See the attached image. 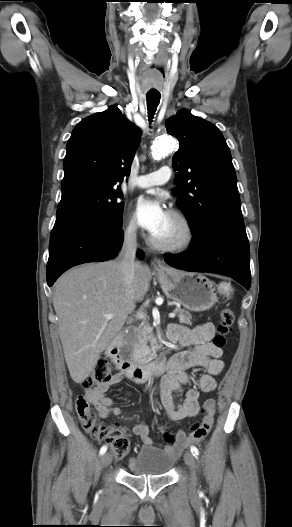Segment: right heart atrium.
Here are the masks:
<instances>
[{
	"mask_svg": "<svg viewBox=\"0 0 292 527\" xmlns=\"http://www.w3.org/2000/svg\"><path fill=\"white\" fill-rule=\"evenodd\" d=\"M125 236L128 239H134L137 234V225L134 220V218L130 217L127 221L126 227H125Z\"/></svg>",
	"mask_w": 292,
	"mask_h": 527,
	"instance_id": "d8ad5b80",
	"label": "right heart atrium"
}]
</instances>
